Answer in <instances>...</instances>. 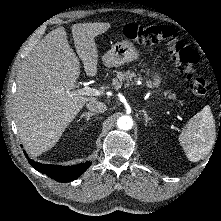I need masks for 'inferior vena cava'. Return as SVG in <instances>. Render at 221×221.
<instances>
[{"mask_svg": "<svg viewBox=\"0 0 221 221\" xmlns=\"http://www.w3.org/2000/svg\"><path fill=\"white\" fill-rule=\"evenodd\" d=\"M86 107L88 110L96 113H104L107 110V106L97 100L90 101L86 104Z\"/></svg>", "mask_w": 221, "mask_h": 221, "instance_id": "inferior-vena-cava-1", "label": "inferior vena cava"}]
</instances>
